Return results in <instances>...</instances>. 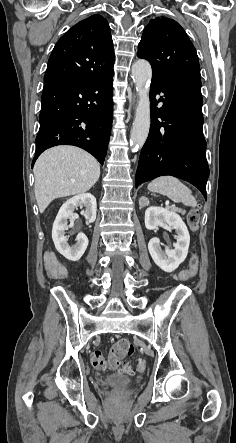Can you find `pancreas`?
<instances>
[{
    "mask_svg": "<svg viewBox=\"0 0 236 443\" xmlns=\"http://www.w3.org/2000/svg\"><path fill=\"white\" fill-rule=\"evenodd\" d=\"M173 211H175V212H178V213H181L182 215H184L185 213H186V211L185 210H183V209H181V208H176V207H174V208H171Z\"/></svg>",
    "mask_w": 236,
    "mask_h": 443,
    "instance_id": "pancreas-1",
    "label": "pancreas"
}]
</instances>
